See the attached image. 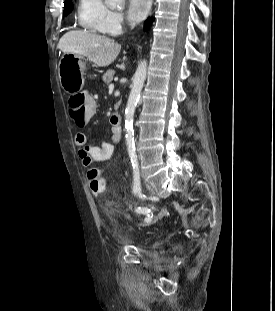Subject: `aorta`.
Returning a JSON list of instances; mask_svg holds the SVG:
<instances>
[{
    "mask_svg": "<svg viewBox=\"0 0 275 311\" xmlns=\"http://www.w3.org/2000/svg\"><path fill=\"white\" fill-rule=\"evenodd\" d=\"M105 2L112 7H123L125 0H105ZM147 61L143 60L139 63L138 68L133 77L131 92L128 98L127 106L125 109V129H126V142L128 152L134 151V130L133 118L135 108L140 97L141 90L146 79Z\"/></svg>",
    "mask_w": 275,
    "mask_h": 311,
    "instance_id": "obj_1",
    "label": "aorta"
}]
</instances>
